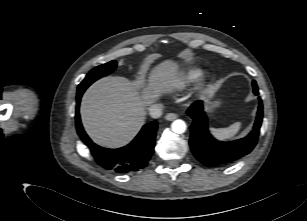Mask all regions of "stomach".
<instances>
[{
    "label": "stomach",
    "instance_id": "1",
    "mask_svg": "<svg viewBox=\"0 0 307 221\" xmlns=\"http://www.w3.org/2000/svg\"><path fill=\"white\" fill-rule=\"evenodd\" d=\"M218 104H219V101H216V102H215V105H218Z\"/></svg>",
    "mask_w": 307,
    "mask_h": 221
}]
</instances>
